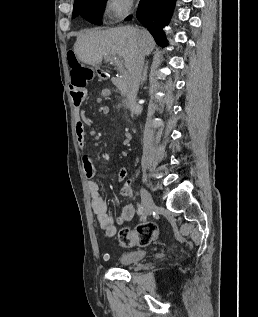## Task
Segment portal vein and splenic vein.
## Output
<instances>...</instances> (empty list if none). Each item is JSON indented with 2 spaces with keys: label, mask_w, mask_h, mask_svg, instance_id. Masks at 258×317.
Returning <instances> with one entry per match:
<instances>
[{
  "label": "portal vein and splenic vein",
  "mask_w": 258,
  "mask_h": 317,
  "mask_svg": "<svg viewBox=\"0 0 258 317\" xmlns=\"http://www.w3.org/2000/svg\"><path fill=\"white\" fill-rule=\"evenodd\" d=\"M106 58H109V60H116V56H106Z\"/></svg>",
  "instance_id": "portal-vein-and-splenic-vein-1"
}]
</instances>
